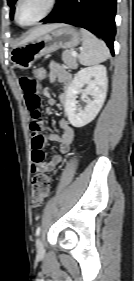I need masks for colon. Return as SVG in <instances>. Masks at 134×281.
<instances>
[{
    "mask_svg": "<svg viewBox=\"0 0 134 281\" xmlns=\"http://www.w3.org/2000/svg\"><path fill=\"white\" fill-rule=\"evenodd\" d=\"M47 71L44 67H37L34 70V77L38 82L47 78ZM51 188V179L45 173L36 174L32 180L31 203L33 206H40L47 198Z\"/></svg>",
    "mask_w": 134,
    "mask_h": 281,
    "instance_id": "obj_1",
    "label": "colon"
}]
</instances>
